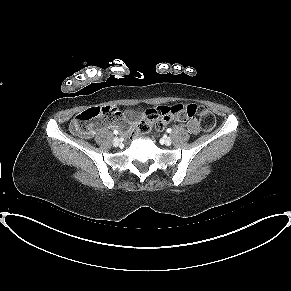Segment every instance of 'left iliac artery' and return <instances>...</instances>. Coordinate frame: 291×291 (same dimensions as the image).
<instances>
[{"label": "left iliac artery", "mask_w": 291, "mask_h": 291, "mask_svg": "<svg viewBox=\"0 0 291 291\" xmlns=\"http://www.w3.org/2000/svg\"><path fill=\"white\" fill-rule=\"evenodd\" d=\"M171 131H172L171 128H168V129H167V132H168V133H171Z\"/></svg>", "instance_id": "1"}]
</instances>
